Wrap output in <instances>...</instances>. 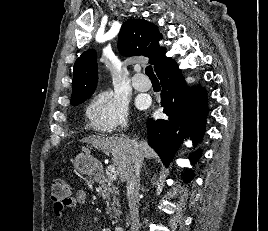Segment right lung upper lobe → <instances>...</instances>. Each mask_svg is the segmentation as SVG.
Segmentation results:
<instances>
[{
  "label": "right lung upper lobe",
  "instance_id": "1",
  "mask_svg": "<svg viewBox=\"0 0 268 231\" xmlns=\"http://www.w3.org/2000/svg\"><path fill=\"white\" fill-rule=\"evenodd\" d=\"M161 38L156 25L144 19H129L122 24L119 32L118 49L124 56L149 57V63L159 74L175 63L165 56V48L159 46ZM97 79L96 52L90 49L81 54L74 64L71 104L89 98L95 91Z\"/></svg>",
  "mask_w": 268,
  "mask_h": 231
}]
</instances>
